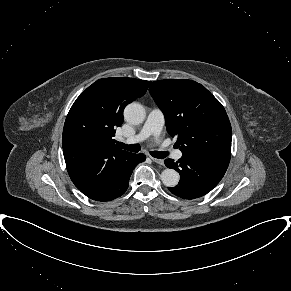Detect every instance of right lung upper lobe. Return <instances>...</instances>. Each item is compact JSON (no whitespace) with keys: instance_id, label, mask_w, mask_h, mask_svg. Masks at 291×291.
Here are the masks:
<instances>
[{"instance_id":"cb5924a9","label":"right lung upper lobe","mask_w":291,"mask_h":291,"mask_svg":"<svg viewBox=\"0 0 291 291\" xmlns=\"http://www.w3.org/2000/svg\"><path fill=\"white\" fill-rule=\"evenodd\" d=\"M150 81L104 78L83 91L63 128V154L69 176L86 196L97 192L115 167L132 153L115 145L116 128L127 104L143 96Z\"/></svg>"}]
</instances>
